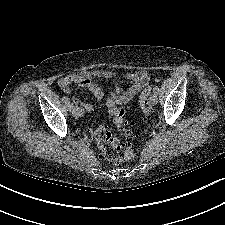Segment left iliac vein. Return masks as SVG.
<instances>
[{
    "instance_id": "obj_1",
    "label": "left iliac vein",
    "mask_w": 225,
    "mask_h": 225,
    "mask_svg": "<svg viewBox=\"0 0 225 225\" xmlns=\"http://www.w3.org/2000/svg\"><path fill=\"white\" fill-rule=\"evenodd\" d=\"M150 101H151V103H152L153 105H156V104H157V101H158V99H157V93L153 92V93L151 94Z\"/></svg>"
}]
</instances>
